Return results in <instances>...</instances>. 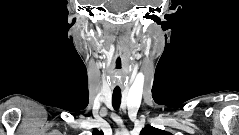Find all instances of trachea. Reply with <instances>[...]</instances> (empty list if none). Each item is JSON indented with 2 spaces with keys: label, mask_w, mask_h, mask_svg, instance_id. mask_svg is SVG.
Listing matches in <instances>:
<instances>
[{
  "label": "trachea",
  "mask_w": 239,
  "mask_h": 135,
  "mask_svg": "<svg viewBox=\"0 0 239 135\" xmlns=\"http://www.w3.org/2000/svg\"><path fill=\"white\" fill-rule=\"evenodd\" d=\"M121 104V93H113L112 105L115 110H118Z\"/></svg>",
  "instance_id": "1"
}]
</instances>
